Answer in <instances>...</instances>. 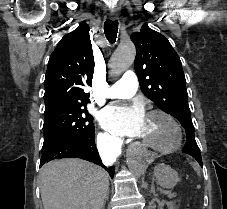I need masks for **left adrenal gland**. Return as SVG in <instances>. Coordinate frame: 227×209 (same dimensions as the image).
Listing matches in <instances>:
<instances>
[{
    "instance_id": "left-adrenal-gland-1",
    "label": "left adrenal gland",
    "mask_w": 227,
    "mask_h": 209,
    "mask_svg": "<svg viewBox=\"0 0 227 209\" xmlns=\"http://www.w3.org/2000/svg\"><path fill=\"white\" fill-rule=\"evenodd\" d=\"M154 181H155V177H153V179H152L151 193H152V195H157V193L155 191V187H154Z\"/></svg>"
}]
</instances>
